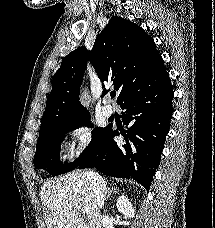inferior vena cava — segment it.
<instances>
[{"label": "inferior vena cava", "instance_id": "inferior-vena-cava-1", "mask_svg": "<svg viewBox=\"0 0 215 228\" xmlns=\"http://www.w3.org/2000/svg\"><path fill=\"white\" fill-rule=\"evenodd\" d=\"M85 176H87L91 184V188L96 196L97 206L101 210L105 202L106 182L96 172H85Z\"/></svg>", "mask_w": 215, "mask_h": 228}]
</instances>
